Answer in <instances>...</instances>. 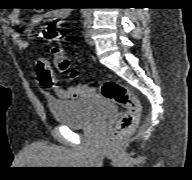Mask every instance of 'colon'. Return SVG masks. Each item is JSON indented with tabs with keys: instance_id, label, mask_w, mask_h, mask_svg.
<instances>
[{
	"instance_id": "obj_1",
	"label": "colon",
	"mask_w": 192,
	"mask_h": 180,
	"mask_svg": "<svg viewBox=\"0 0 192 180\" xmlns=\"http://www.w3.org/2000/svg\"><path fill=\"white\" fill-rule=\"evenodd\" d=\"M41 38L47 41L60 42L65 38L53 22L42 26ZM54 62L56 67L62 71H69L71 78L77 76V71L71 69L70 61L62 49H54ZM100 94L125 108V113L116 124L111 136L112 142H117L123 136L130 133L138 124L141 117V103L136 94L127 86L115 80H106L99 86Z\"/></svg>"
}]
</instances>
